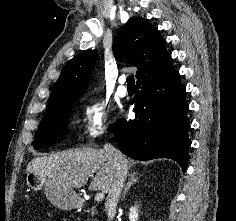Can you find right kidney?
<instances>
[{
  "label": "right kidney",
  "mask_w": 236,
  "mask_h": 221,
  "mask_svg": "<svg viewBox=\"0 0 236 221\" xmlns=\"http://www.w3.org/2000/svg\"><path fill=\"white\" fill-rule=\"evenodd\" d=\"M129 220L130 221H138V208L137 206H132L129 209Z\"/></svg>",
  "instance_id": "obj_1"
}]
</instances>
